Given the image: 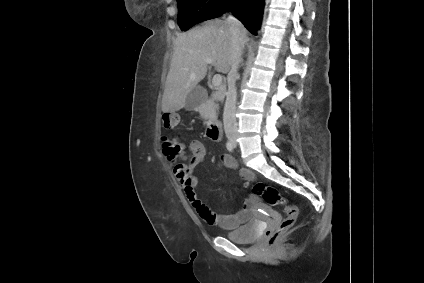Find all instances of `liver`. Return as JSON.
Returning a JSON list of instances; mask_svg holds the SVG:
<instances>
[{"label":"liver","instance_id":"obj_1","mask_svg":"<svg viewBox=\"0 0 424 283\" xmlns=\"http://www.w3.org/2000/svg\"><path fill=\"white\" fill-rule=\"evenodd\" d=\"M231 38L225 19L208 20L202 26L177 36L162 98L164 113L176 112L186 106L187 95L206 76L208 59L217 72H229Z\"/></svg>","mask_w":424,"mask_h":283}]
</instances>
